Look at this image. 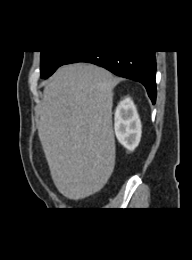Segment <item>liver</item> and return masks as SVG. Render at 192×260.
Returning a JSON list of instances; mask_svg holds the SVG:
<instances>
[{
    "mask_svg": "<svg viewBox=\"0 0 192 260\" xmlns=\"http://www.w3.org/2000/svg\"><path fill=\"white\" fill-rule=\"evenodd\" d=\"M117 82L102 67L74 63L60 67L44 87L38 135L53 182L66 198L98 192L113 172Z\"/></svg>",
    "mask_w": 192,
    "mask_h": 260,
    "instance_id": "obj_1",
    "label": "liver"
}]
</instances>
